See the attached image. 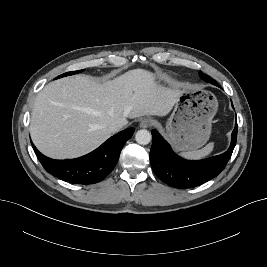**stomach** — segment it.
<instances>
[{"label": "stomach", "mask_w": 267, "mask_h": 267, "mask_svg": "<svg viewBox=\"0 0 267 267\" xmlns=\"http://www.w3.org/2000/svg\"><path fill=\"white\" fill-rule=\"evenodd\" d=\"M218 109L216 96L207 90H182L166 124V136L178 151L196 150L207 143Z\"/></svg>", "instance_id": "obj_1"}]
</instances>
